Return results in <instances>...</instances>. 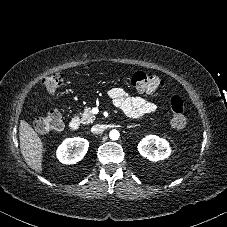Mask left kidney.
Returning a JSON list of instances; mask_svg holds the SVG:
<instances>
[{
  "mask_svg": "<svg viewBox=\"0 0 227 227\" xmlns=\"http://www.w3.org/2000/svg\"><path fill=\"white\" fill-rule=\"evenodd\" d=\"M138 151L143 157L156 162L168 158L171 148L165 139L148 135L139 142Z\"/></svg>",
  "mask_w": 227,
  "mask_h": 227,
  "instance_id": "obj_1",
  "label": "left kidney"
}]
</instances>
